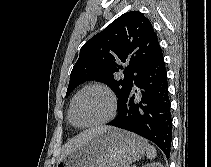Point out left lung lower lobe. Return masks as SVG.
<instances>
[{"instance_id": "1", "label": "left lung lower lobe", "mask_w": 211, "mask_h": 167, "mask_svg": "<svg viewBox=\"0 0 211 167\" xmlns=\"http://www.w3.org/2000/svg\"><path fill=\"white\" fill-rule=\"evenodd\" d=\"M137 90L125 95L119 115L108 125L134 132L155 143L168 158L172 118L163 53L159 47L134 81Z\"/></svg>"}]
</instances>
